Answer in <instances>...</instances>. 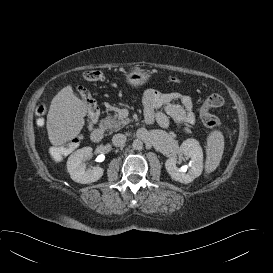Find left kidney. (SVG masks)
<instances>
[{
	"label": "left kidney",
	"mask_w": 273,
	"mask_h": 273,
	"mask_svg": "<svg viewBox=\"0 0 273 273\" xmlns=\"http://www.w3.org/2000/svg\"><path fill=\"white\" fill-rule=\"evenodd\" d=\"M180 152L190 158V167H177V157L172 156L165 162V168L170 177L180 183L188 184L199 177L203 170V151L196 139H187L180 146Z\"/></svg>",
	"instance_id": "1"
}]
</instances>
